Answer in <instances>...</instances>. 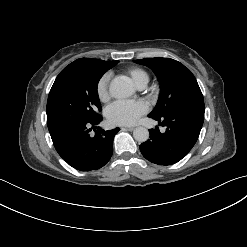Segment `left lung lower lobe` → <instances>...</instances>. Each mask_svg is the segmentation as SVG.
Returning a JSON list of instances; mask_svg holds the SVG:
<instances>
[{
	"mask_svg": "<svg viewBox=\"0 0 247 247\" xmlns=\"http://www.w3.org/2000/svg\"><path fill=\"white\" fill-rule=\"evenodd\" d=\"M155 120L165 126L166 131L161 133L158 127L150 129L149 139L140 145V151L152 163L171 165L184 158L196 143L204 113L178 111Z\"/></svg>",
	"mask_w": 247,
	"mask_h": 247,
	"instance_id": "1",
	"label": "left lung lower lobe"
}]
</instances>
